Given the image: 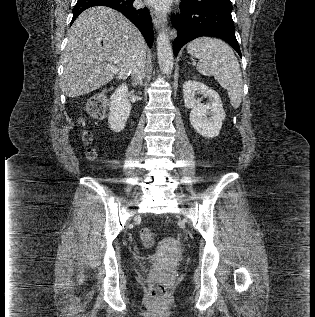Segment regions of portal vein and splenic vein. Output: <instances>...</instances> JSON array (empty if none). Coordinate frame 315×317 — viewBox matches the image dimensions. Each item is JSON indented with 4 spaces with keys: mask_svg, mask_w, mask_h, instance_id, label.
<instances>
[{
    "mask_svg": "<svg viewBox=\"0 0 315 317\" xmlns=\"http://www.w3.org/2000/svg\"><path fill=\"white\" fill-rule=\"evenodd\" d=\"M111 71H113L114 73H117L119 70L116 67H110Z\"/></svg>",
    "mask_w": 315,
    "mask_h": 317,
    "instance_id": "18ae733b",
    "label": "portal vein and splenic vein"
}]
</instances>
